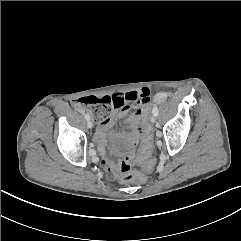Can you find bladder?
<instances>
[{"instance_id": "31cf9c89", "label": "bladder", "mask_w": 241, "mask_h": 241, "mask_svg": "<svg viewBox=\"0 0 241 241\" xmlns=\"http://www.w3.org/2000/svg\"><path fill=\"white\" fill-rule=\"evenodd\" d=\"M115 144L117 148L121 151L131 146L130 141L122 138L121 136H117L115 138Z\"/></svg>"}]
</instances>
